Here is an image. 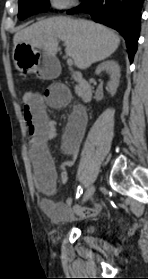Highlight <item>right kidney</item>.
Returning <instances> with one entry per match:
<instances>
[{"label":"right kidney","instance_id":"right-kidney-1","mask_svg":"<svg viewBox=\"0 0 148 279\" xmlns=\"http://www.w3.org/2000/svg\"><path fill=\"white\" fill-rule=\"evenodd\" d=\"M106 71L110 73V81L108 84L109 92L113 96L116 94L117 88L119 86L120 79V67L117 62L113 60H108L101 63L95 73L100 74L101 72Z\"/></svg>","mask_w":148,"mask_h":279}]
</instances>
